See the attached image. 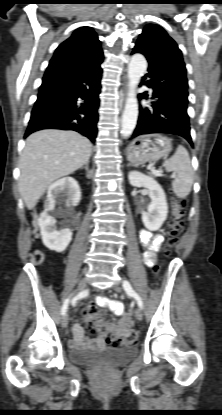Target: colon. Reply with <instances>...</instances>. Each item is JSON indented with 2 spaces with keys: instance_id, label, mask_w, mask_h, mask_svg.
<instances>
[{
  "instance_id": "colon-1",
  "label": "colon",
  "mask_w": 222,
  "mask_h": 415,
  "mask_svg": "<svg viewBox=\"0 0 222 415\" xmlns=\"http://www.w3.org/2000/svg\"><path fill=\"white\" fill-rule=\"evenodd\" d=\"M186 205V200L183 198H177L175 201L174 217L169 226L167 239L168 248L174 247L179 240L184 228ZM154 270L158 271L159 268L155 267ZM83 318L91 333L104 334L113 346L132 343L139 338V331L123 330L107 322L101 311L95 306L86 307L83 310Z\"/></svg>"
}]
</instances>
